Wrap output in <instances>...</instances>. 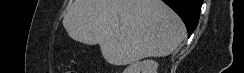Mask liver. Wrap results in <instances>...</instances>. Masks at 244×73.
I'll return each mask as SVG.
<instances>
[{
	"label": "liver",
	"instance_id": "obj_1",
	"mask_svg": "<svg viewBox=\"0 0 244 73\" xmlns=\"http://www.w3.org/2000/svg\"><path fill=\"white\" fill-rule=\"evenodd\" d=\"M62 23L73 40L98 43L112 65L168 56L186 36L180 17L161 0H74Z\"/></svg>",
	"mask_w": 244,
	"mask_h": 73
}]
</instances>
